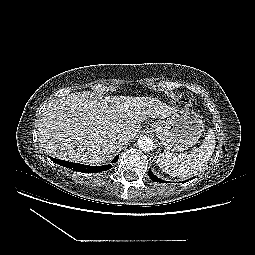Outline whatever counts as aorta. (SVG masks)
Here are the masks:
<instances>
[{
  "label": "aorta",
  "mask_w": 255,
  "mask_h": 255,
  "mask_svg": "<svg viewBox=\"0 0 255 255\" xmlns=\"http://www.w3.org/2000/svg\"><path fill=\"white\" fill-rule=\"evenodd\" d=\"M153 144H154L153 139L147 136L139 137L137 141V145L142 151L152 150Z\"/></svg>",
  "instance_id": "1"
}]
</instances>
